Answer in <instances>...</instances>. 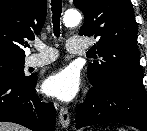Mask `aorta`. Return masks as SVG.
Here are the masks:
<instances>
[{"instance_id": "762f6f07", "label": "aorta", "mask_w": 147, "mask_h": 131, "mask_svg": "<svg viewBox=\"0 0 147 131\" xmlns=\"http://www.w3.org/2000/svg\"><path fill=\"white\" fill-rule=\"evenodd\" d=\"M81 14L76 10H68L65 12L63 22L67 27H74L79 24Z\"/></svg>"}]
</instances>
